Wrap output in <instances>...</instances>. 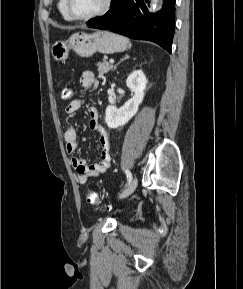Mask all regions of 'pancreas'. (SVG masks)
<instances>
[{
    "instance_id": "pancreas-1",
    "label": "pancreas",
    "mask_w": 243,
    "mask_h": 289,
    "mask_svg": "<svg viewBox=\"0 0 243 289\" xmlns=\"http://www.w3.org/2000/svg\"><path fill=\"white\" fill-rule=\"evenodd\" d=\"M97 66L100 75L108 73L113 68L112 64H109L107 61L99 62Z\"/></svg>"
}]
</instances>
